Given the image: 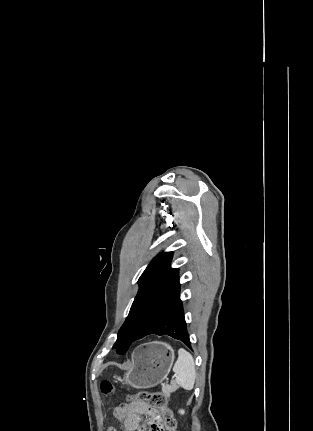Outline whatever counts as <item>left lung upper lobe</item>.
Here are the masks:
<instances>
[{"label":"left lung upper lobe","mask_w":313,"mask_h":431,"mask_svg":"<svg viewBox=\"0 0 313 431\" xmlns=\"http://www.w3.org/2000/svg\"><path fill=\"white\" fill-rule=\"evenodd\" d=\"M172 252L161 253L139 278L140 288L113 348L125 354L148 321L180 293L178 269L170 267Z\"/></svg>","instance_id":"1"}]
</instances>
